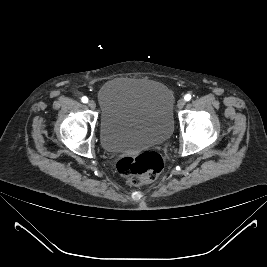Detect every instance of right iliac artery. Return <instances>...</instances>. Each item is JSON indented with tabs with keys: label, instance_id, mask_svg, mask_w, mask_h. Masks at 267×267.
Returning a JSON list of instances; mask_svg holds the SVG:
<instances>
[{
	"label": "right iliac artery",
	"instance_id": "1",
	"mask_svg": "<svg viewBox=\"0 0 267 267\" xmlns=\"http://www.w3.org/2000/svg\"><path fill=\"white\" fill-rule=\"evenodd\" d=\"M82 102H83V103H87V102H88V98H87V97H83V98H82Z\"/></svg>",
	"mask_w": 267,
	"mask_h": 267
}]
</instances>
